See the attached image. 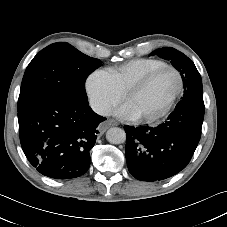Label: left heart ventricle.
Returning a JSON list of instances; mask_svg holds the SVG:
<instances>
[{
  "label": "left heart ventricle",
  "mask_w": 227,
  "mask_h": 227,
  "mask_svg": "<svg viewBox=\"0 0 227 227\" xmlns=\"http://www.w3.org/2000/svg\"><path fill=\"white\" fill-rule=\"evenodd\" d=\"M178 87V77L172 70H165L149 85L131 96L125 103L137 117H148L159 113L167 105Z\"/></svg>",
  "instance_id": "left-heart-ventricle-1"
}]
</instances>
